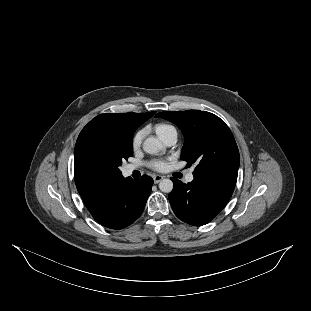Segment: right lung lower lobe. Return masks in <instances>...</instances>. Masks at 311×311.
<instances>
[{"instance_id": "obj_1", "label": "right lung lower lobe", "mask_w": 311, "mask_h": 311, "mask_svg": "<svg viewBox=\"0 0 311 311\" xmlns=\"http://www.w3.org/2000/svg\"><path fill=\"white\" fill-rule=\"evenodd\" d=\"M152 184L153 179L147 175L136 182L121 175L97 183L80 195L97 222L111 229H122L142 214Z\"/></svg>"}]
</instances>
